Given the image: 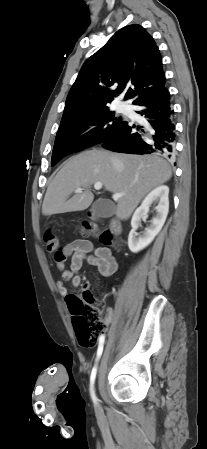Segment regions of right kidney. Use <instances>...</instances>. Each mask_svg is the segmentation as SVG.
<instances>
[{
  "mask_svg": "<svg viewBox=\"0 0 207 449\" xmlns=\"http://www.w3.org/2000/svg\"><path fill=\"white\" fill-rule=\"evenodd\" d=\"M168 194L169 188L166 185L158 186L146 196L141 206L134 212L131 220L132 230L128 237V246L131 252L137 253L147 247L162 229L169 210ZM153 203H158L156 206L157 214L140 235L136 230L141 225V220L147 216L149 207Z\"/></svg>",
  "mask_w": 207,
  "mask_h": 449,
  "instance_id": "obj_1",
  "label": "right kidney"
}]
</instances>
